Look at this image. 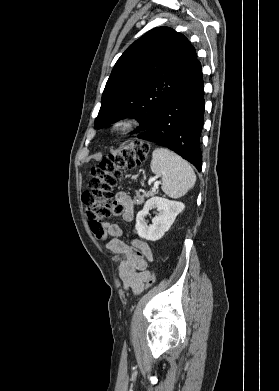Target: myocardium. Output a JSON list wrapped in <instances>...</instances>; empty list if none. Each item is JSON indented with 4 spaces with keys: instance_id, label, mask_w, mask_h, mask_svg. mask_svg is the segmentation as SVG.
Instances as JSON below:
<instances>
[{
    "instance_id": "obj_1",
    "label": "myocardium",
    "mask_w": 279,
    "mask_h": 391,
    "mask_svg": "<svg viewBox=\"0 0 279 391\" xmlns=\"http://www.w3.org/2000/svg\"><path fill=\"white\" fill-rule=\"evenodd\" d=\"M135 126L132 118H121L113 123L112 129L117 135H125Z\"/></svg>"
}]
</instances>
